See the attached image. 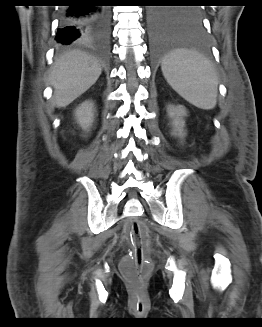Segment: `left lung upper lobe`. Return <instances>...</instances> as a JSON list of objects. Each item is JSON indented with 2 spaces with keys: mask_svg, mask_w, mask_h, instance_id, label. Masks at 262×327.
<instances>
[{
  "mask_svg": "<svg viewBox=\"0 0 262 327\" xmlns=\"http://www.w3.org/2000/svg\"><path fill=\"white\" fill-rule=\"evenodd\" d=\"M179 12L182 16L189 20L200 21L201 14L197 8H188V9H179Z\"/></svg>",
  "mask_w": 262,
  "mask_h": 327,
  "instance_id": "1",
  "label": "left lung upper lobe"
}]
</instances>
